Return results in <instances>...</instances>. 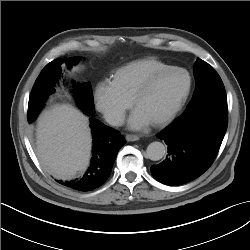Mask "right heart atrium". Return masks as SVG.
Wrapping results in <instances>:
<instances>
[{"mask_svg":"<svg viewBox=\"0 0 250 250\" xmlns=\"http://www.w3.org/2000/svg\"><path fill=\"white\" fill-rule=\"evenodd\" d=\"M97 110L112 125H121L133 101L118 91L110 80L99 81L93 90Z\"/></svg>","mask_w":250,"mask_h":250,"instance_id":"d8ad5b80","label":"right heart atrium"}]
</instances>
